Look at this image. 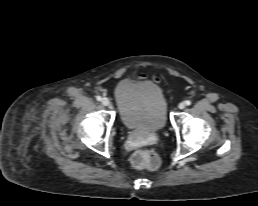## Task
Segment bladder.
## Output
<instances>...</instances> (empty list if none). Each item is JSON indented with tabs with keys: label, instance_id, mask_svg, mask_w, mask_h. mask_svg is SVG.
I'll return each mask as SVG.
<instances>
[{
	"label": "bladder",
	"instance_id": "bladder-1",
	"mask_svg": "<svg viewBox=\"0 0 258 206\" xmlns=\"http://www.w3.org/2000/svg\"><path fill=\"white\" fill-rule=\"evenodd\" d=\"M114 98L125 127L156 132L166 125V99L160 88L152 82L123 80L116 85Z\"/></svg>",
	"mask_w": 258,
	"mask_h": 206
}]
</instances>
